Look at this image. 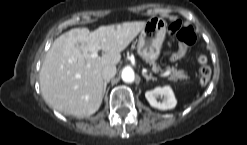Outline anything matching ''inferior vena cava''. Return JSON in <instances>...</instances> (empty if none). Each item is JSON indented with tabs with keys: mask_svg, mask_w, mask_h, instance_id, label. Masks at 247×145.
I'll return each mask as SVG.
<instances>
[{
	"mask_svg": "<svg viewBox=\"0 0 247 145\" xmlns=\"http://www.w3.org/2000/svg\"><path fill=\"white\" fill-rule=\"evenodd\" d=\"M116 67L114 65H107L102 69V78L108 81L116 75Z\"/></svg>",
	"mask_w": 247,
	"mask_h": 145,
	"instance_id": "602c4592",
	"label": "inferior vena cava"
}]
</instances>
